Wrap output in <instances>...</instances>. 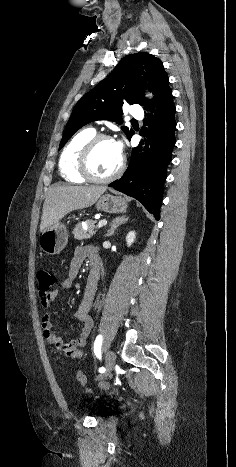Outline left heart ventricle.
Returning <instances> with one entry per match:
<instances>
[{
  "instance_id": "left-heart-ventricle-1",
  "label": "left heart ventricle",
  "mask_w": 236,
  "mask_h": 467,
  "mask_svg": "<svg viewBox=\"0 0 236 467\" xmlns=\"http://www.w3.org/2000/svg\"><path fill=\"white\" fill-rule=\"evenodd\" d=\"M121 160L114 142L101 141L96 146L91 157V169L95 175L106 177L113 173Z\"/></svg>"
}]
</instances>
